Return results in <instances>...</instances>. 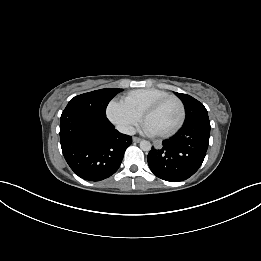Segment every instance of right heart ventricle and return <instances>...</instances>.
<instances>
[{"label": "right heart ventricle", "mask_w": 261, "mask_h": 261, "mask_svg": "<svg viewBox=\"0 0 261 261\" xmlns=\"http://www.w3.org/2000/svg\"><path fill=\"white\" fill-rule=\"evenodd\" d=\"M165 90L157 88H145L128 92L123 97V102L135 113L142 115L143 111L156 100L168 96Z\"/></svg>", "instance_id": "e07e8e85"}]
</instances>
